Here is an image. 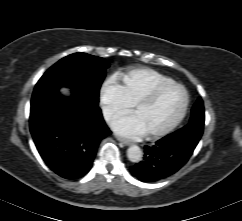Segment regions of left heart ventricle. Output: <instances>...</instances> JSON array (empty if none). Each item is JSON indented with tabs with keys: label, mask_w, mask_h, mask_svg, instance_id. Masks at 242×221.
<instances>
[{
	"label": "left heart ventricle",
	"mask_w": 242,
	"mask_h": 221,
	"mask_svg": "<svg viewBox=\"0 0 242 221\" xmlns=\"http://www.w3.org/2000/svg\"><path fill=\"white\" fill-rule=\"evenodd\" d=\"M184 103V94L178 87L162 90L148 105L137 108L134 113L141 120L146 134L169 126L179 115Z\"/></svg>",
	"instance_id": "b2bd125f"
}]
</instances>
